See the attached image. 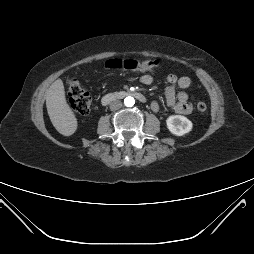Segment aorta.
<instances>
[{
    "mask_svg": "<svg viewBox=\"0 0 254 254\" xmlns=\"http://www.w3.org/2000/svg\"><path fill=\"white\" fill-rule=\"evenodd\" d=\"M124 104L127 107H131L135 104V99L131 96H128L124 99Z\"/></svg>",
    "mask_w": 254,
    "mask_h": 254,
    "instance_id": "aorta-1",
    "label": "aorta"
}]
</instances>
